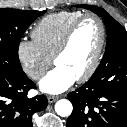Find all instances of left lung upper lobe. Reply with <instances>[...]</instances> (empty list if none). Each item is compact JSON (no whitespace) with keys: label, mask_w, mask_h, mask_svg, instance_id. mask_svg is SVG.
I'll list each match as a JSON object with an SVG mask.
<instances>
[{"label":"left lung upper lobe","mask_w":127,"mask_h":127,"mask_svg":"<svg viewBox=\"0 0 127 127\" xmlns=\"http://www.w3.org/2000/svg\"><path fill=\"white\" fill-rule=\"evenodd\" d=\"M76 7L89 9L103 17L107 29L105 54L96 70L105 67L109 62L119 56L127 55V31L114 18H112L105 10L97 6L77 5Z\"/></svg>","instance_id":"obj_1"}]
</instances>
